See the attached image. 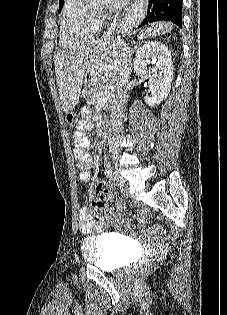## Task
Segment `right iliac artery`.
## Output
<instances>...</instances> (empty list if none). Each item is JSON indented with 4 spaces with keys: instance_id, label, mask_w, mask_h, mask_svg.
Masks as SVG:
<instances>
[{
    "instance_id": "right-iliac-artery-1",
    "label": "right iliac artery",
    "mask_w": 227,
    "mask_h": 315,
    "mask_svg": "<svg viewBox=\"0 0 227 315\" xmlns=\"http://www.w3.org/2000/svg\"><path fill=\"white\" fill-rule=\"evenodd\" d=\"M105 174H106L107 178H109V180H111V181H115L116 180L117 175H116V173L113 170L109 169V170L106 171Z\"/></svg>"
}]
</instances>
